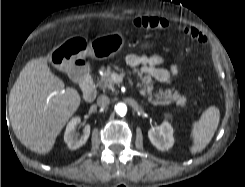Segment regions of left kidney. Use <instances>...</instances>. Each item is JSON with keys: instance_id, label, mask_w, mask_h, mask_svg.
<instances>
[{"instance_id": "obj_1", "label": "left kidney", "mask_w": 245, "mask_h": 187, "mask_svg": "<svg viewBox=\"0 0 245 187\" xmlns=\"http://www.w3.org/2000/svg\"><path fill=\"white\" fill-rule=\"evenodd\" d=\"M170 114H165V120L160 126L152 127L148 131V137L151 143L161 151L170 149L174 144L173 127L168 122Z\"/></svg>"}]
</instances>
